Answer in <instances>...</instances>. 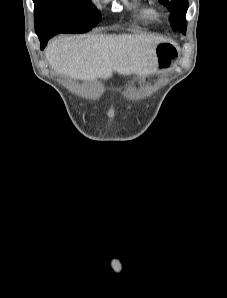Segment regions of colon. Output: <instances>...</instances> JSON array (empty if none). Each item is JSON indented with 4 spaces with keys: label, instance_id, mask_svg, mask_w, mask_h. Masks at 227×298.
<instances>
[{
    "label": "colon",
    "instance_id": "1",
    "mask_svg": "<svg viewBox=\"0 0 227 298\" xmlns=\"http://www.w3.org/2000/svg\"><path fill=\"white\" fill-rule=\"evenodd\" d=\"M157 57L160 68H167L177 57V50L171 43H161L157 47Z\"/></svg>",
    "mask_w": 227,
    "mask_h": 298
}]
</instances>
